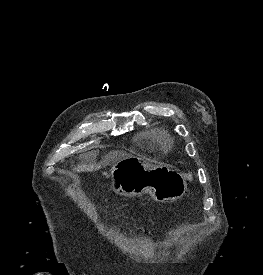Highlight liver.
Returning <instances> with one entry per match:
<instances>
[{"instance_id": "6515ba94", "label": "liver", "mask_w": 263, "mask_h": 275, "mask_svg": "<svg viewBox=\"0 0 263 275\" xmlns=\"http://www.w3.org/2000/svg\"><path fill=\"white\" fill-rule=\"evenodd\" d=\"M130 156L127 153L124 152H118V151H114L111 152L108 156L107 159L109 160H114L115 162ZM101 164H87L86 162H84L82 165L78 166L77 171L78 172H90V171H94V170H98L101 168Z\"/></svg>"}]
</instances>
